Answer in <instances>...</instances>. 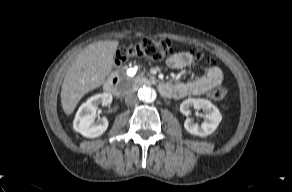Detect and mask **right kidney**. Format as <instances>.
<instances>
[{
	"label": "right kidney",
	"mask_w": 292,
	"mask_h": 192,
	"mask_svg": "<svg viewBox=\"0 0 292 192\" xmlns=\"http://www.w3.org/2000/svg\"><path fill=\"white\" fill-rule=\"evenodd\" d=\"M112 102V95L109 93L97 94L83 103L75 116L73 128L75 131L87 138L101 136L108 128L106 118L95 121V114L99 104L107 106Z\"/></svg>",
	"instance_id": "right-kidney-1"
}]
</instances>
